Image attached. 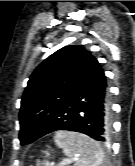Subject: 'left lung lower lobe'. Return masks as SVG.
<instances>
[{"mask_svg": "<svg viewBox=\"0 0 135 166\" xmlns=\"http://www.w3.org/2000/svg\"><path fill=\"white\" fill-rule=\"evenodd\" d=\"M111 104L106 76L93 57L74 85L66 106L47 124L31 121L21 126V144L58 130L84 133L105 142L110 135Z\"/></svg>", "mask_w": 135, "mask_h": 166, "instance_id": "0a47b994", "label": "left lung lower lobe"}]
</instances>
